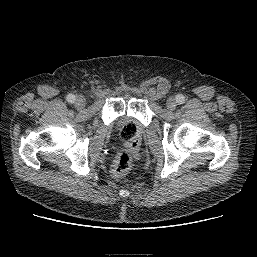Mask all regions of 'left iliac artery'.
Here are the masks:
<instances>
[{
    "instance_id": "obj_1",
    "label": "left iliac artery",
    "mask_w": 257,
    "mask_h": 257,
    "mask_svg": "<svg viewBox=\"0 0 257 257\" xmlns=\"http://www.w3.org/2000/svg\"><path fill=\"white\" fill-rule=\"evenodd\" d=\"M176 101H177V103H179V104H183V103L185 102V96L182 95V94H178V95L176 96Z\"/></svg>"
}]
</instances>
